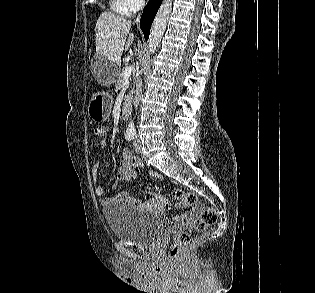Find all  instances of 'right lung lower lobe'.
<instances>
[{
	"instance_id": "right-lung-lower-lobe-1",
	"label": "right lung lower lobe",
	"mask_w": 315,
	"mask_h": 293,
	"mask_svg": "<svg viewBox=\"0 0 315 293\" xmlns=\"http://www.w3.org/2000/svg\"><path fill=\"white\" fill-rule=\"evenodd\" d=\"M162 0H150L144 8L143 14L140 20V28L143 31L144 37L147 40L150 33L151 24L158 11V8Z\"/></svg>"
}]
</instances>
